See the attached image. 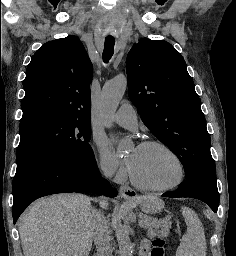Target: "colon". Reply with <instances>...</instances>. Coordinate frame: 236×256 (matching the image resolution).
Segmentation results:
<instances>
[{"instance_id":"colon-1","label":"colon","mask_w":236,"mask_h":256,"mask_svg":"<svg viewBox=\"0 0 236 256\" xmlns=\"http://www.w3.org/2000/svg\"><path fill=\"white\" fill-rule=\"evenodd\" d=\"M150 256H165V240L161 235L154 237Z\"/></svg>"}]
</instances>
